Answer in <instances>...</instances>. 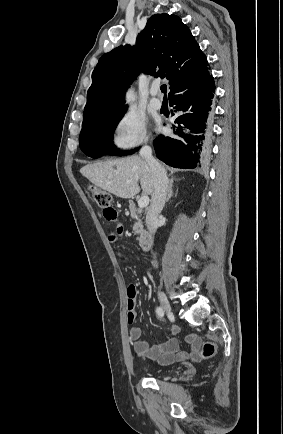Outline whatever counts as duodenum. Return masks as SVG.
Instances as JSON below:
<instances>
[{
    "instance_id": "1",
    "label": "duodenum",
    "mask_w": 283,
    "mask_h": 434,
    "mask_svg": "<svg viewBox=\"0 0 283 434\" xmlns=\"http://www.w3.org/2000/svg\"><path fill=\"white\" fill-rule=\"evenodd\" d=\"M129 209L133 214L137 213V206L133 201H129ZM153 237L151 233L145 231L140 239L141 246L144 250H148L152 245Z\"/></svg>"
}]
</instances>
